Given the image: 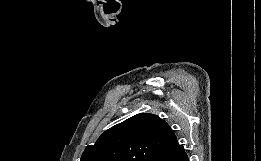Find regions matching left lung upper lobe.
Here are the masks:
<instances>
[{"mask_svg":"<svg viewBox=\"0 0 261 161\" xmlns=\"http://www.w3.org/2000/svg\"><path fill=\"white\" fill-rule=\"evenodd\" d=\"M175 139L164 120L140 113L105 131L94 145L86 147L80 161H151Z\"/></svg>","mask_w":261,"mask_h":161,"instance_id":"1","label":"left lung upper lobe"}]
</instances>
